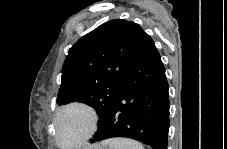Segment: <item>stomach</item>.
Wrapping results in <instances>:
<instances>
[{
	"label": "stomach",
	"mask_w": 227,
	"mask_h": 149,
	"mask_svg": "<svg viewBox=\"0 0 227 149\" xmlns=\"http://www.w3.org/2000/svg\"><path fill=\"white\" fill-rule=\"evenodd\" d=\"M90 149H103L102 147L90 148Z\"/></svg>",
	"instance_id": "1"
}]
</instances>
